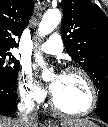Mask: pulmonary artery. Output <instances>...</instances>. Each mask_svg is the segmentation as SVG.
Masks as SVG:
<instances>
[{"label":"pulmonary artery","instance_id":"pulmonary-artery-1","mask_svg":"<svg viewBox=\"0 0 108 127\" xmlns=\"http://www.w3.org/2000/svg\"><path fill=\"white\" fill-rule=\"evenodd\" d=\"M39 49L45 53L57 55L63 50V43L60 35L54 33L49 39L39 46Z\"/></svg>","mask_w":108,"mask_h":127}]
</instances>
